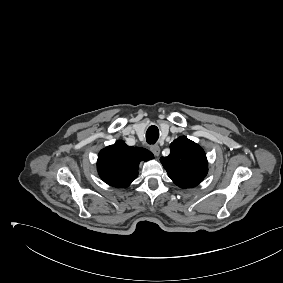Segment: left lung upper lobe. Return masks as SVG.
<instances>
[{
    "label": "left lung upper lobe",
    "mask_w": 283,
    "mask_h": 283,
    "mask_svg": "<svg viewBox=\"0 0 283 283\" xmlns=\"http://www.w3.org/2000/svg\"><path fill=\"white\" fill-rule=\"evenodd\" d=\"M170 154L160 161L168 176L180 188H191L203 181L208 172V162L202 147L185 136L174 140Z\"/></svg>",
    "instance_id": "left-lung-upper-lobe-1"
}]
</instances>
